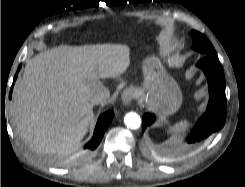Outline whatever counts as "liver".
Returning a JSON list of instances; mask_svg holds the SVG:
<instances>
[{"instance_id":"6515ba94","label":"liver","mask_w":245,"mask_h":187,"mask_svg":"<svg viewBox=\"0 0 245 187\" xmlns=\"http://www.w3.org/2000/svg\"><path fill=\"white\" fill-rule=\"evenodd\" d=\"M129 64L130 49L123 44L60 45L35 55L14 88L17 132L39 152L74 149L94 117L89 94Z\"/></svg>"}]
</instances>
